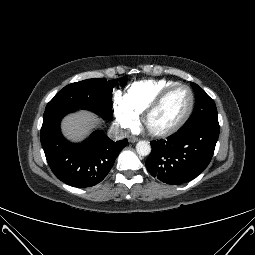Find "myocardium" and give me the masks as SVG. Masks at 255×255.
Instances as JSON below:
<instances>
[{
  "label": "myocardium",
  "instance_id": "obj_1",
  "mask_svg": "<svg viewBox=\"0 0 255 255\" xmlns=\"http://www.w3.org/2000/svg\"><path fill=\"white\" fill-rule=\"evenodd\" d=\"M179 88H185L189 92V95H190V103H189L188 109H187L186 113L184 114V116L175 125H173L170 128L163 129V130L151 129L148 125V120H149L150 116L161 106L163 101L166 99V97L170 93H172L173 91H175ZM194 104H195L194 93L188 85L178 84V83L175 85H172V86L166 88L165 90H163L161 93H159L154 98V100L143 111V115H142L143 127L146 130V132L153 137H157V138L168 137V136L176 133L177 131H179L184 126V124L188 121V119L190 118V116L193 112Z\"/></svg>",
  "mask_w": 255,
  "mask_h": 255
}]
</instances>
